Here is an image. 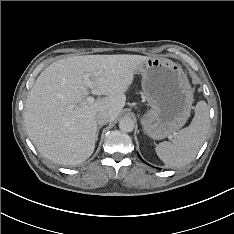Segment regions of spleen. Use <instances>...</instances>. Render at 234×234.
I'll use <instances>...</instances> for the list:
<instances>
[{
	"instance_id": "1",
	"label": "spleen",
	"mask_w": 234,
	"mask_h": 234,
	"mask_svg": "<svg viewBox=\"0 0 234 234\" xmlns=\"http://www.w3.org/2000/svg\"><path fill=\"white\" fill-rule=\"evenodd\" d=\"M210 127L209 108L205 101L195 107L191 124L176 133L173 142H161L155 148L156 154L168 167L189 164L202 147Z\"/></svg>"
}]
</instances>
